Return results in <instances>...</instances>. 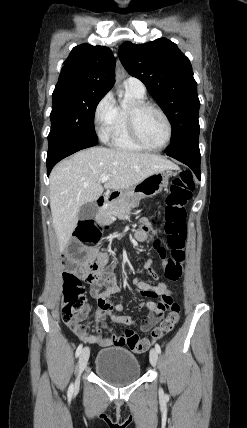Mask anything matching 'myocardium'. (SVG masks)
I'll return each instance as SVG.
<instances>
[{"instance_id": "obj_1", "label": "myocardium", "mask_w": 247, "mask_h": 428, "mask_svg": "<svg viewBox=\"0 0 247 428\" xmlns=\"http://www.w3.org/2000/svg\"><path fill=\"white\" fill-rule=\"evenodd\" d=\"M145 109L155 110L156 112H158L162 116V118L164 119V121L166 123L167 137H166V140L161 145L153 146V145L146 143L138 131L137 116L139 115L140 112H142ZM126 119H127L128 131H129L131 138L134 140V142H136L138 145H140L144 149L159 151V150H163L164 148H166L170 144V142L172 140V135H173V126H172L170 118L168 117L166 112L161 107H159L153 103L147 102V101H135L127 109Z\"/></svg>"}]
</instances>
